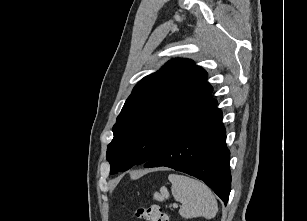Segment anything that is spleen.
I'll return each instance as SVG.
<instances>
[{
    "label": "spleen",
    "mask_w": 307,
    "mask_h": 221,
    "mask_svg": "<svg viewBox=\"0 0 307 221\" xmlns=\"http://www.w3.org/2000/svg\"><path fill=\"white\" fill-rule=\"evenodd\" d=\"M168 180L171 182V192L176 201L182 202L179 214L186 219L204 217L212 219L218 211L217 201L212 191L203 182L196 179L170 174ZM169 197L166 187L155 192L153 198L157 201H164Z\"/></svg>",
    "instance_id": "obj_1"
}]
</instances>
